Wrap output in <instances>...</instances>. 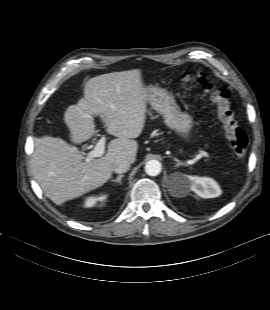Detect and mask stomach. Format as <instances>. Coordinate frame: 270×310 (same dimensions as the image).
<instances>
[{
	"label": "stomach",
	"mask_w": 270,
	"mask_h": 310,
	"mask_svg": "<svg viewBox=\"0 0 270 310\" xmlns=\"http://www.w3.org/2000/svg\"><path fill=\"white\" fill-rule=\"evenodd\" d=\"M147 99L163 117L165 124L186 141L190 140L193 118L180 110L172 95L159 88H147Z\"/></svg>",
	"instance_id": "obj_1"
}]
</instances>
